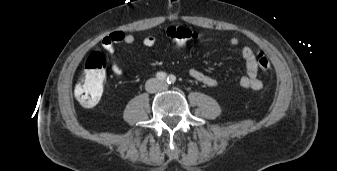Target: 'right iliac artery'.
<instances>
[{"instance_id": "right-iliac-artery-1", "label": "right iliac artery", "mask_w": 337, "mask_h": 171, "mask_svg": "<svg viewBox=\"0 0 337 171\" xmlns=\"http://www.w3.org/2000/svg\"><path fill=\"white\" fill-rule=\"evenodd\" d=\"M156 78L161 81H166L167 80V74L165 72H158L156 74Z\"/></svg>"}]
</instances>
